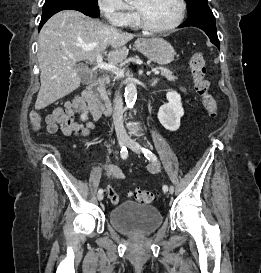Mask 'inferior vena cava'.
Segmentation results:
<instances>
[{
	"label": "inferior vena cava",
	"mask_w": 261,
	"mask_h": 273,
	"mask_svg": "<svg viewBox=\"0 0 261 273\" xmlns=\"http://www.w3.org/2000/svg\"><path fill=\"white\" fill-rule=\"evenodd\" d=\"M113 123L118 138L127 137L123 125V103L120 92L117 91L113 101Z\"/></svg>",
	"instance_id": "602c4592"
}]
</instances>
